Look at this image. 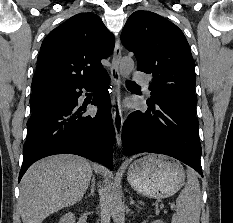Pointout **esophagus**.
<instances>
[{
    "label": "esophagus",
    "instance_id": "1",
    "mask_svg": "<svg viewBox=\"0 0 233 223\" xmlns=\"http://www.w3.org/2000/svg\"><path fill=\"white\" fill-rule=\"evenodd\" d=\"M122 56V49L120 38L115 42L113 53V61L110 69V76L114 84V96L112 100L113 105V123L115 128L116 142L118 147H121V134L123 125L122 104H121V78L119 72V65Z\"/></svg>",
    "mask_w": 233,
    "mask_h": 223
}]
</instances>
